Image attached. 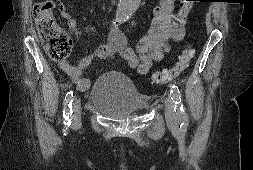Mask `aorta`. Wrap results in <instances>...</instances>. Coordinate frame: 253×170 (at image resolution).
I'll list each match as a JSON object with an SVG mask.
<instances>
[{
	"label": "aorta",
	"instance_id": "762f6f07",
	"mask_svg": "<svg viewBox=\"0 0 253 170\" xmlns=\"http://www.w3.org/2000/svg\"><path fill=\"white\" fill-rule=\"evenodd\" d=\"M141 0H119L117 14L121 18H128L139 7Z\"/></svg>",
	"mask_w": 253,
	"mask_h": 170
}]
</instances>
